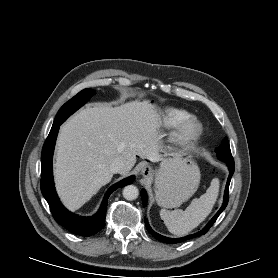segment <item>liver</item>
<instances>
[{"label": "liver", "mask_w": 278, "mask_h": 278, "mask_svg": "<svg viewBox=\"0 0 278 278\" xmlns=\"http://www.w3.org/2000/svg\"><path fill=\"white\" fill-rule=\"evenodd\" d=\"M160 115L149 101L118 107L95 104L78 111L62 125L56 145L54 176L64 205L81 208L113 177L111 163L121 157L127 174L136 156L156 162L162 151Z\"/></svg>", "instance_id": "1"}]
</instances>
